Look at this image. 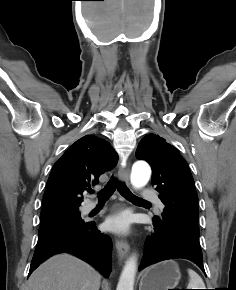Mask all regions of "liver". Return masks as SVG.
I'll use <instances>...</instances> for the list:
<instances>
[{
    "instance_id": "1",
    "label": "liver",
    "mask_w": 236,
    "mask_h": 290,
    "mask_svg": "<svg viewBox=\"0 0 236 290\" xmlns=\"http://www.w3.org/2000/svg\"><path fill=\"white\" fill-rule=\"evenodd\" d=\"M101 277L84 261L63 253L49 258L30 276L26 290H99Z\"/></svg>"
}]
</instances>
